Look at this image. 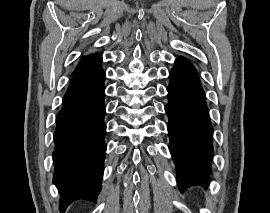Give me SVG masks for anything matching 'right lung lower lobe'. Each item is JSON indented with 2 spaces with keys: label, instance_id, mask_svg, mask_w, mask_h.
I'll return each mask as SVG.
<instances>
[{
  "label": "right lung lower lobe",
  "instance_id": "obj_1",
  "mask_svg": "<svg viewBox=\"0 0 270 213\" xmlns=\"http://www.w3.org/2000/svg\"><path fill=\"white\" fill-rule=\"evenodd\" d=\"M105 77L101 67L73 75L56 117L53 183L61 193V212L79 199L96 202L101 190Z\"/></svg>",
  "mask_w": 270,
  "mask_h": 213
}]
</instances>
